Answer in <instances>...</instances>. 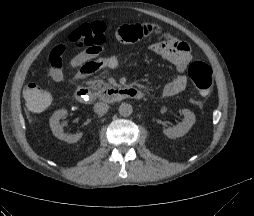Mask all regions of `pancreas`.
Segmentation results:
<instances>
[{
	"mask_svg": "<svg viewBox=\"0 0 254 216\" xmlns=\"http://www.w3.org/2000/svg\"><path fill=\"white\" fill-rule=\"evenodd\" d=\"M87 84L90 86V88L95 90H100L109 86V84L105 83L102 80L89 81Z\"/></svg>",
	"mask_w": 254,
	"mask_h": 216,
	"instance_id": "obj_1",
	"label": "pancreas"
}]
</instances>
